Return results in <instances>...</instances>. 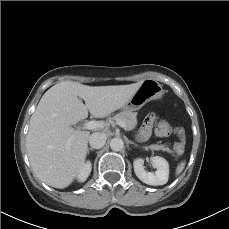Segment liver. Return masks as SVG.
<instances>
[{
  "label": "liver",
  "mask_w": 229,
  "mask_h": 229,
  "mask_svg": "<svg viewBox=\"0 0 229 229\" xmlns=\"http://www.w3.org/2000/svg\"><path fill=\"white\" fill-rule=\"evenodd\" d=\"M141 83L88 86L63 81L46 91L31 116L26 138L34 174L49 186H69L84 165L90 137L89 131L72 125L87 118L88 112L104 118L122 108Z\"/></svg>",
  "instance_id": "1"
}]
</instances>
